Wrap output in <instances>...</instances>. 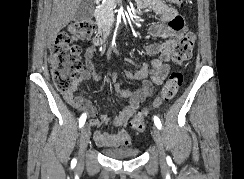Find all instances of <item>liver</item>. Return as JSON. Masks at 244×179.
<instances>
[{"instance_id":"liver-1","label":"liver","mask_w":244,"mask_h":179,"mask_svg":"<svg viewBox=\"0 0 244 179\" xmlns=\"http://www.w3.org/2000/svg\"><path fill=\"white\" fill-rule=\"evenodd\" d=\"M81 0H53L51 18L48 24V42H54L57 34L74 20Z\"/></svg>"}]
</instances>
